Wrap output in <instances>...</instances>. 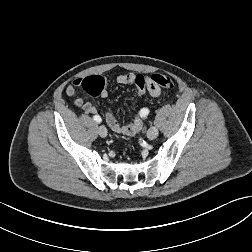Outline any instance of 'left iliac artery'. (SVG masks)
I'll list each match as a JSON object with an SVG mask.
<instances>
[{
    "mask_svg": "<svg viewBox=\"0 0 252 252\" xmlns=\"http://www.w3.org/2000/svg\"><path fill=\"white\" fill-rule=\"evenodd\" d=\"M139 117L142 119V123L144 125H148L150 123V120L148 119V110L146 108L140 110Z\"/></svg>",
    "mask_w": 252,
    "mask_h": 252,
    "instance_id": "obj_1",
    "label": "left iliac artery"
}]
</instances>
